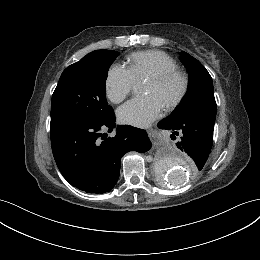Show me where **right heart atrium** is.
<instances>
[{
  "label": "right heart atrium",
  "instance_id": "1",
  "mask_svg": "<svg viewBox=\"0 0 260 260\" xmlns=\"http://www.w3.org/2000/svg\"><path fill=\"white\" fill-rule=\"evenodd\" d=\"M134 84L135 80L128 68L114 64L109 68L105 82L107 97L111 102L119 103L130 94Z\"/></svg>",
  "mask_w": 260,
  "mask_h": 260
}]
</instances>
